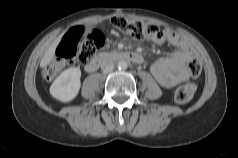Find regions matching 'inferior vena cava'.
I'll list each match as a JSON object with an SVG mask.
<instances>
[{"mask_svg":"<svg viewBox=\"0 0 238 158\" xmlns=\"http://www.w3.org/2000/svg\"><path fill=\"white\" fill-rule=\"evenodd\" d=\"M113 69H114V65H113V64H108V65H106V66L104 67L103 72H104V73H109V72H111Z\"/></svg>","mask_w":238,"mask_h":158,"instance_id":"602c4592","label":"inferior vena cava"}]
</instances>
